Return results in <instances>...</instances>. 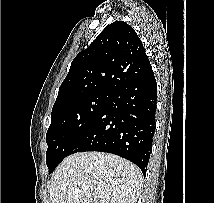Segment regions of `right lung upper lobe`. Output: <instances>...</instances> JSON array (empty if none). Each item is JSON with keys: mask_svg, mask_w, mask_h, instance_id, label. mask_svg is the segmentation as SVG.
<instances>
[{"mask_svg": "<svg viewBox=\"0 0 214 203\" xmlns=\"http://www.w3.org/2000/svg\"><path fill=\"white\" fill-rule=\"evenodd\" d=\"M150 70V61L134 29L124 21L111 23L74 58L53 109L93 93L110 94Z\"/></svg>", "mask_w": 214, "mask_h": 203, "instance_id": "1", "label": "right lung upper lobe"}]
</instances>
